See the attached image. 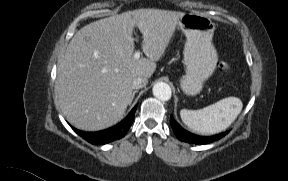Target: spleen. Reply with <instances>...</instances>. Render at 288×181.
<instances>
[{"mask_svg": "<svg viewBox=\"0 0 288 181\" xmlns=\"http://www.w3.org/2000/svg\"><path fill=\"white\" fill-rule=\"evenodd\" d=\"M243 103L237 97H227L199 110L182 109L180 116L194 132L211 135L227 129L242 111Z\"/></svg>", "mask_w": 288, "mask_h": 181, "instance_id": "3e777b00", "label": "spleen"}]
</instances>
